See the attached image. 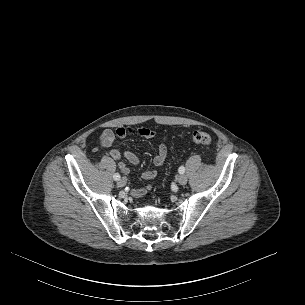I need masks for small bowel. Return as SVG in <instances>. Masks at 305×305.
<instances>
[{"label":"small bowel","mask_w":305,"mask_h":305,"mask_svg":"<svg viewBox=\"0 0 305 305\" xmlns=\"http://www.w3.org/2000/svg\"><path fill=\"white\" fill-rule=\"evenodd\" d=\"M127 136H140L146 139H151L156 136V132L152 129L145 128V127H134V126H121L117 127L115 129H105L101 136H100V146L104 149H110L109 155L115 159L119 160L122 157H124L127 161H129L133 165H138L140 163V158L137 154L131 152V151H124L123 153L117 149L112 148L114 141L116 139H124ZM168 138L164 137L163 142L160 143L158 147V152L156 156L154 157V164L156 166H162L166 159H167V142ZM119 169L125 173L128 174L130 172L129 167L123 163H119ZM157 171L155 169L146 170L142 173L141 177L144 180H152L156 177ZM152 189V185L148 184L145 187L141 188H135L132 190V194L135 197H142L146 195L150 190Z\"/></svg>","instance_id":"1"}]
</instances>
